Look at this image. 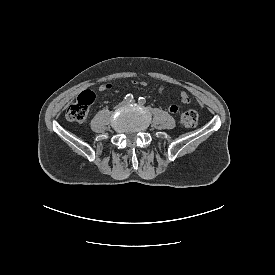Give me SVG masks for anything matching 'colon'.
<instances>
[{
	"label": "colon",
	"mask_w": 275,
	"mask_h": 275,
	"mask_svg": "<svg viewBox=\"0 0 275 275\" xmlns=\"http://www.w3.org/2000/svg\"><path fill=\"white\" fill-rule=\"evenodd\" d=\"M95 95L91 90L83 91L78 97L75 103L71 104L66 110V118L69 121L76 123H83L86 120L88 110ZM198 121V115L194 110H188L182 113L179 117V124L185 128H192L196 126Z\"/></svg>",
	"instance_id": "5ec220e1"
}]
</instances>
